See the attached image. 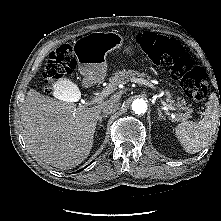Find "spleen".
Wrapping results in <instances>:
<instances>
[{"mask_svg":"<svg viewBox=\"0 0 221 221\" xmlns=\"http://www.w3.org/2000/svg\"><path fill=\"white\" fill-rule=\"evenodd\" d=\"M218 125L219 102L216 94L212 93L204 118L199 122L185 121L180 123L175 129V133L184 150L194 154L208 144L216 133Z\"/></svg>","mask_w":221,"mask_h":221,"instance_id":"spleen-1","label":"spleen"}]
</instances>
